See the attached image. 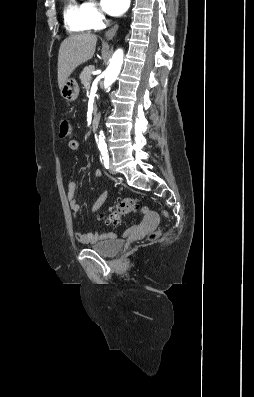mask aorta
I'll return each instance as SVG.
<instances>
[{
  "mask_svg": "<svg viewBox=\"0 0 254 397\" xmlns=\"http://www.w3.org/2000/svg\"><path fill=\"white\" fill-rule=\"evenodd\" d=\"M123 64V51L121 49L117 50L110 61L108 68L105 73L104 86L109 89L110 85L116 80L121 66ZM105 136L103 131L99 133V146H105Z\"/></svg>",
  "mask_w": 254,
  "mask_h": 397,
  "instance_id": "1",
  "label": "aorta"
}]
</instances>
